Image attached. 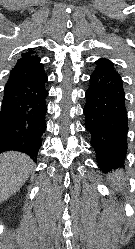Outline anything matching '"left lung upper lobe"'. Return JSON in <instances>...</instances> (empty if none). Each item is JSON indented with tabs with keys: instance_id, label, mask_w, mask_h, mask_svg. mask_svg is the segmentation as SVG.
I'll return each instance as SVG.
<instances>
[{
	"instance_id": "obj_1",
	"label": "left lung upper lobe",
	"mask_w": 135,
	"mask_h": 249,
	"mask_svg": "<svg viewBox=\"0 0 135 249\" xmlns=\"http://www.w3.org/2000/svg\"><path fill=\"white\" fill-rule=\"evenodd\" d=\"M97 63H100V64H102V65H104V66H107V67H110V68L114 69V68H113V63H112L111 61H109L108 59H105V58L99 59V60L97 61Z\"/></svg>"
}]
</instances>
